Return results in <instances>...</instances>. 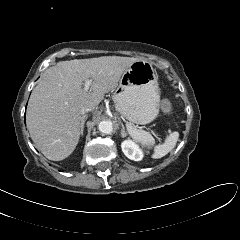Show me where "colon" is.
<instances>
[{
  "label": "colon",
  "mask_w": 240,
  "mask_h": 240,
  "mask_svg": "<svg viewBox=\"0 0 240 240\" xmlns=\"http://www.w3.org/2000/svg\"><path fill=\"white\" fill-rule=\"evenodd\" d=\"M162 108H163V110H165V111H169V110H170V103H169L168 101H164V102L162 103Z\"/></svg>",
  "instance_id": "obj_1"
}]
</instances>
